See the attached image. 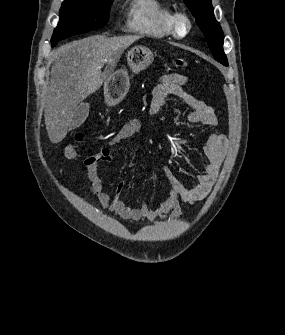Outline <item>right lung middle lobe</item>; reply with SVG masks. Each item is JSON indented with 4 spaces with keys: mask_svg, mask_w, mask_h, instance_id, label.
Wrapping results in <instances>:
<instances>
[{
    "mask_svg": "<svg viewBox=\"0 0 285 335\" xmlns=\"http://www.w3.org/2000/svg\"><path fill=\"white\" fill-rule=\"evenodd\" d=\"M113 0H64L60 9L59 24L51 43L75 34L99 29L106 25Z\"/></svg>",
    "mask_w": 285,
    "mask_h": 335,
    "instance_id": "obj_1",
    "label": "right lung middle lobe"
}]
</instances>
